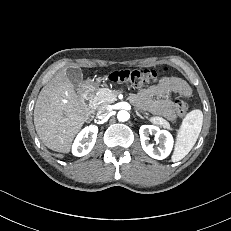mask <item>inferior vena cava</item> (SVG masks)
I'll use <instances>...</instances> for the list:
<instances>
[{
    "label": "inferior vena cava",
    "instance_id": "1",
    "mask_svg": "<svg viewBox=\"0 0 231 231\" xmlns=\"http://www.w3.org/2000/svg\"><path fill=\"white\" fill-rule=\"evenodd\" d=\"M111 111V107L109 105H100L97 109V117L103 119L108 116Z\"/></svg>",
    "mask_w": 231,
    "mask_h": 231
}]
</instances>
